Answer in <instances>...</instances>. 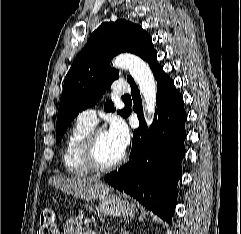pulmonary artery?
<instances>
[{
    "label": "pulmonary artery",
    "mask_w": 241,
    "mask_h": 234,
    "mask_svg": "<svg viewBox=\"0 0 241 234\" xmlns=\"http://www.w3.org/2000/svg\"><path fill=\"white\" fill-rule=\"evenodd\" d=\"M129 90L128 85L123 82L115 83L112 86V91L116 95H127ZM77 120L95 126L97 123L96 109L91 107L83 110L79 113Z\"/></svg>",
    "instance_id": "e3ab8cb5"
}]
</instances>
